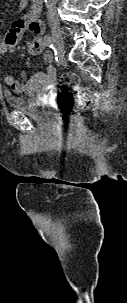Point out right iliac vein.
I'll return each instance as SVG.
<instances>
[{"mask_svg":"<svg viewBox=\"0 0 127 303\" xmlns=\"http://www.w3.org/2000/svg\"><path fill=\"white\" fill-rule=\"evenodd\" d=\"M49 24L51 27L52 36H53L54 42L56 44V47H57L59 53H63L64 52V38H63L60 24L55 19L50 20Z\"/></svg>","mask_w":127,"mask_h":303,"instance_id":"right-iliac-vein-1","label":"right iliac vein"}]
</instances>
